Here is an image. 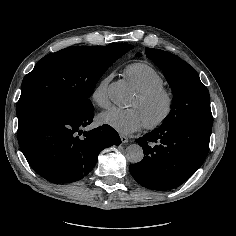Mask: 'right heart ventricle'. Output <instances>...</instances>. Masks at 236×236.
Wrapping results in <instances>:
<instances>
[{
	"mask_svg": "<svg viewBox=\"0 0 236 236\" xmlns=\"http://www.w3.org/2000/svg\"><path fill=\"white\" fill-rule=\"evenodd\" d=\"M124 72L138 92L152 90L164 84L162 75L146 62H133L125 67Z\"/></svg>",
	"mask_w": 236,
	"mask_h": 236,
	"instance_id": "1",
	"label": "right heart ventricle"
}]
</instances>
